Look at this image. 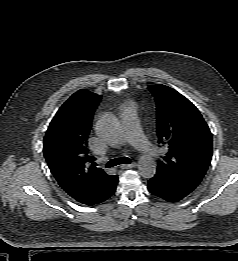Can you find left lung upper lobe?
<instances>
[{
	"instance_id": "obj_1",
	"label": "left lung upper lobe",
	"mask_w": 238,
	"mask_h": 261,
	"mask_svg": "<svg viewBox=\"0 0 238 261\" xmlns=\"http://www.w3.org/2000/svg\"><path fill=\"white\" fill-rule=\"evenodd\" d=\"M156 102L159 143L168 151L156 174L192 192L203 179L212 158V134L199 110L176 90L149 86Z\"/></svg>"
}]
</instances>
